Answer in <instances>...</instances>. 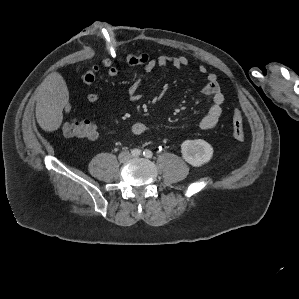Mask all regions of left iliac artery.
Segmentation results:
<instances>
[{
	"label": "left iliac artery",
	"instance_id": "obj_1",
	"mask_svg": "<svg viewBox=\"0 0 299 299\" xmlns=\"http://www.w3.org/2000/svg\"><path fill=\"white\" fill-rule=\"evenodd\" d=\"M143 155L146 157V158H151L153 153L150 151V150H145L143 152Z\"/></svg>",
	"mask_w": 299,
	"mask_h": 299
}]
</instances>
